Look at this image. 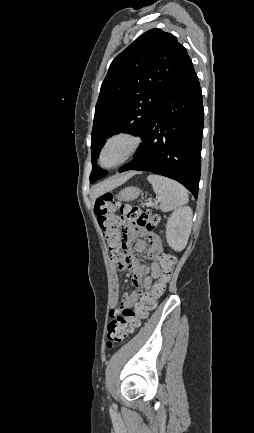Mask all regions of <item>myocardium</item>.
<instances>
[{
	"label": "myocardium",
	"instance_id": "myocardium-1",
	"mask_svg": "<svg viewBox=\"0 0 254 433\" xmlns=\"http://www.w3.org/2000/svg\"><path fill=\"white\" fill-rule=\"evenodd\" d=\"M117 139H125L129 142V148L127 150V152L125 153V155L123 156V158L118 161L116 164L111 165V166H105L102 163V157H103V153L105 151V149L107 148V146L114 140ZM142 140L141 138L134 132L130 131V130H120L117 131L113 134H111L109 137H107V139L104 141L100 152H99V157H98V162L99 165L103 168L106 169H114L117 168L121 165H123L124 163H126L127 161H129L132 157H134L136 155V153L138 152L140 146H141Z\"/></svg>",
	"mask_w": 254,
	"mask_h": 433
}]
</instances>
